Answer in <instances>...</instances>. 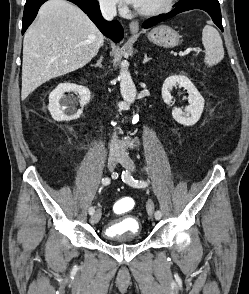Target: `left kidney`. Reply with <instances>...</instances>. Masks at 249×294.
Masks as SVG:
<instances>
[{
  "label": "left kidney",
  "mask_w": 249,
  "mask_h": 294,
  "mask_svg": "<svg viewBox=\"0 0 249 294\" xmlns=\"http://www.w3.org/2000/svg\"><path fill=\"white\" fill-rule=\"evenodd\" d=\"M179 85L188 92L189 105L182 109L174 107L172 116L175 121L184 126H192L200 119L204 109V98L201 96L194 84L185 75H172L165 79L162 87V98L168 105L171 104V91L174 86Z\"/></svg>",
  "instance_id": "obj_1"
}]
</instances>
